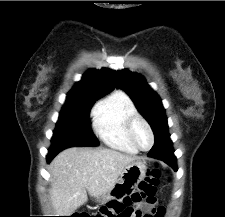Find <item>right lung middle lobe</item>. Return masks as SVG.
I'll use <instances>...</instances> for the list:
<instances>
[{
  "label": "right lung middle lobe",
  "instance_id": "dd1d6c3e",
  "mask_svg": "<svg viewBox=\"0 0 225 217\" xmlns=\"http://www.w3.org/2000/svg\"><path fill=\"white\" fill-rule=\"evenodd\" d=\"M99 97L79 96L67 98L53 132L52 147L61 151L72 146H97L89 124V112Z\"/></svg>",
  "mask_w": 225,
  "mask_h": 217
}]
</instances>
